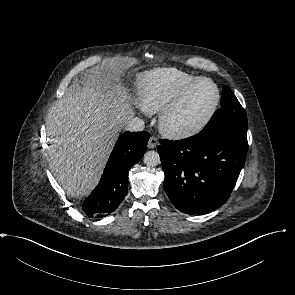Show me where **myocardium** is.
Wrapping results in <instances>:
<instances>
[{
  "instance_id": "1",
  "label": "myocardium",
  "mask_w": 295,
  "mask_h": 295,
  "mask_svg": "<svg viewBox=\"0 0 295 295\" xmlns=\"http://www.w3.org/2000/svg\"><path fill=\"white\" fill-rule=\"evenodd\" d=\"M202 81L210 82L216 91V98L215 101L205 116V118L200 121L198 124L190 127V128H178L173 123V116L176 111L180 108L188 94L193 90V88ZM221 101V91L218 85L208 77H198L186 85L177 95L176 97L162 110L159 118V126L163 134L167 137L174 139V140H186L192 138L199 133H201L204 129L208 127V125L214 119L219 105Z\"/></svg>"
}]
</instances>
